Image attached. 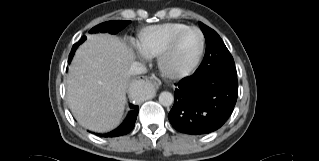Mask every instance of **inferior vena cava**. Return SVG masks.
<instances>
[{
	"label": "inferior vena cava",
	"mask_w": 319,
	"mask_h": 161,
	"mask_svg": "<svg viewBox=\"0 0 319 161\" xmlns=\"http://www.w3.org/2000/svg\"><path fill=\"white\" fill-rule=\"evenodd\" d=\"M146 71L147 70H146L145 65H143L140 62H133L130 65V68L128 70L129 74H131V75L143 74V73H146Z\"/></svg>",
	"instance_id": "1"
}]
</instances>
